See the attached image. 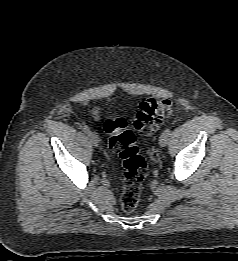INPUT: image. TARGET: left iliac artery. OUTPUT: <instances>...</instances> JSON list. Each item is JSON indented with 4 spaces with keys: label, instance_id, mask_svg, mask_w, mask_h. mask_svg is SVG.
I'll return each mask as SVG.
<instances>
[{
    "label": "left iliac artery",
    "instance_id": "left-iliac-artery-1",
    "mask_svg": "<svg viewBox=\"0 0 238 261\" xmlns=\"http://www.w3.org/2000/svg\"><path fill=\"white\" fill-rule=\"evenodd\" d=\"M164 132H166L168 135L171 134V130L170 129H166Z\"/></svg>",
    "mask_w": 238,
    "mask_h": 261
}]
</instances>
